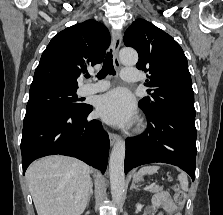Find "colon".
Segmentation results:
<instances>
[{
  "instance_id": "5ec220e1",
  "label": "colon",
  "mask_w": 223,
  "mask_h": 215,
  "mask_svg": "<svg viewBox=\"0 0 223 215\" xmlns=\"http://www.w3.org/2000/svg\"><path fill=\"white\" fill-rule=\"evenodd\" d=\"M186 199H187L186 193L183 190H181L179 187L176 186L175 194H174L176 208L174 210V213H175V211L180 210L184 206Z\"/></svg>"
}]
</instances>
